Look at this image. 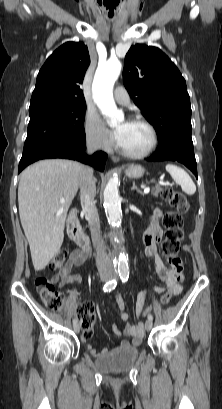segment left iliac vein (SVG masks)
Here are the masks:
<instances>
[{"instance_id": "left-iliac-vein-1", "label": "left iliac vein", "mask_w": 222, "mask_h": 409, "mask_svg": "<svg viewBox=\"0 0 222 409\" xmlns=\"http://www.w3.org/2000/svg\"><path fill=\"white\" fill-rule=\"evenodd\" d=\"M152 327H153L152 321H151V320H147L146 323H145V329H146L147 331H149V330L152 329Z\"/></svg>"}]
</instances>
